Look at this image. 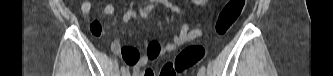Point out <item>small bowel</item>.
Masks as SVG:
<instances>
[{"label":"small bowel","instance_id":"1","mask_svg":"<svg viewBox=\"0 0 333 76\" xmlns=\"http://www.w3.org/2000/svg\"><path fill=\"white\" fill-rule=\"evenodd\" d=\"M163 3L168 6L174 13L183 14L182 10L168 1H163ZM81 12L84 16H89L92 3L88 0L83 1L80 6ZM115 12L114 5L110 2H105L103 4L102 13L104 16H111ZM140 15L144 18L149 16L143 10H141ZM136 17V13L133 10H128L123 15V22L127 23L131 19ZM90 31L92 39H101L102 37V26L99 21L92 20L90 21ZM202 35L200 29H191L189 23L185 22L181 28L180 32L177 35L172 37V41L168 43L161 44L156 40L145 42V52L142 57L139 58L141 52L140 47H137L136 44H124L121 47L118 39H114L112 42V50L115 53H122L124 61L131 65L135 76H144V71L141 72V69L145 67L148 63L156 60L159 57L165 56L173 51H175L180 46L185 43L191 42ZM154 75L155 72H154ZM152 75V76H154ZM157 76H164L162 72H159Z\"/></svg>","mask_w":333,"mask_h":76}]
</instances>
